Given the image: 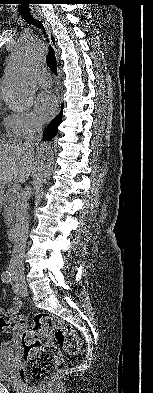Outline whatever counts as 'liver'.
<instances>
[{"label":"liver","instance_id":"6515ba94","mask_svg":"<svg viewBox=\"0 0 153 393\" xmlns=\"http://www.w3.org/2000/svg\"><path fill=\"white\" fill-rule=\"evenodd\" d=\"M35 169L34 156L21 143L0 144V189L15 179L24 183Z\"/></svg>","mask_w":153,"mask_h":393}]
</instances>
